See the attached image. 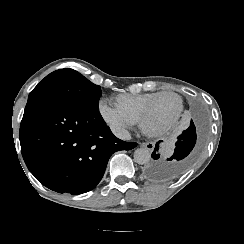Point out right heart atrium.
I'll return each mask as SVG.
<instances>
[{"instance_id": "obj_1", "label": "right heart atrium", "mask_w": 244, "mask_h": 244, "mask_svg": "<svg viewBox=\"0 0 244 244\" xmlns=\"http://www.w3.org/2000/svg\"><path fill=\"white\" fill-rule=\"evenodd\" d=\"M100 112L104 120L116 131L129 127L134 123L135 112L128 103L121 107L103 101L100 104Z\"/></svg>"}]
</instances>
